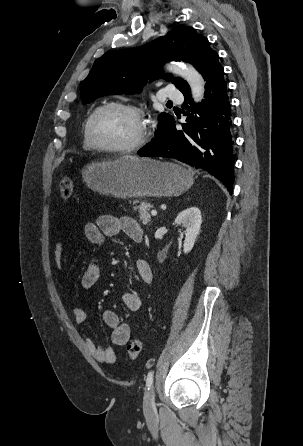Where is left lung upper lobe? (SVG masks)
I'll use <instances>...</instances> for the list:
<instances>
[{"label": "left lung upper lobe", "instance_id": "obj_1", "mask_svg": "<svg viewBox=\"0 0 303 446\" xmlns=\"http://www.w3.org/2000/svg\"><path fill=\"white\" fill-rule=\"evenodd\" d=\"M217 54L206 37L192 27L176 26L155 43L138 48L108 51L98 58L80 86L83 103L109 94H134L147 81L163 77L180 91L188 88L185 80L161 73V64L176 60L193 64L202 74L210 59ZM173 119L168 113L159 115L158 131Z\"/></svg>", "mask_w": 303, "mask_h": 446}]
</instances>
